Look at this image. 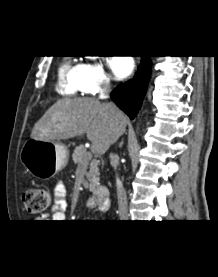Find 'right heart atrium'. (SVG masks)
<instances>
[{
  "instance_id": "obj_1",
  "label": "right heart atrium",
  "mask_w": 218,
  "mask_h": 277,
  "mask_svg": "<svg viewBox=\"0 0 218 277\" xmlns=\"http://www.w3.org/2000/svg\"><path fill=\"white\" fill-rule=\"evenodd\" d=\"M79 82L82 92L93 93L106 88L109 77L100 62L89 61L81 64Z\"/></svg>"
}]
</instances>
